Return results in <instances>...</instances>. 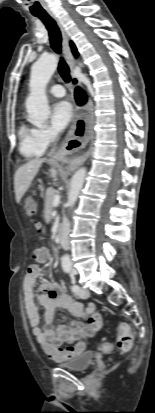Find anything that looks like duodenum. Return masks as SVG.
<instances>
[{
  "mask_svg": "<svg viewBox=\"0 0 155 413\" xmlns=\"http://www.w3.org/2000/svg\"><path fill=\"white\" fill-rule=\"evenodd\" d=\"M60 232H61V229L59 228L58 232L55 236V241H56L57 244H60V241H61V233Z\"/></svg>",
  "mask_w": 155,
  "mask_h": 413,
  "instance_id": "1",
  "label": "duodenum"
}]
</instances>
